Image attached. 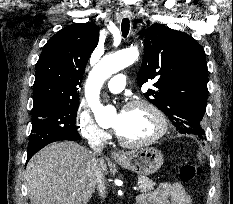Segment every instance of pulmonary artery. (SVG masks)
<instances>
[{"label":"pulmonary artery","mask_w":233,"mask_h":204,"mask_svg":"<svg viewBox=\"0 0 233 204\" xmlns=\"http://www.w3.org/2000/svg\"><path fill=\"white\" fill-rule=\"evenodd\" d=\"M126 85V76L124 74L114 75L107 84V89L112 93L121 92Z\"/></svg>","instance_id":"pulmonary-artery-1"}]
</instances>
